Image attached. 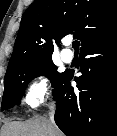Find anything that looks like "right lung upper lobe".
Masks as SVG:
<instances>
[{
  "label": "right lung upper lobe",
  "mask_w": 117,
  "mask_h": 136,
  "mask_svg": "<svg viewBox=\"0 0 117 136\" xmlns=\"http://www.w3.org/2000/svg\"><path fill=\"white\" fill-rule=\"evenodd\" d=\"M117 27V0H35L25 11L9 65L52 57L54 43L74 33L81 46Z\"/></svg>",
  "instance_id": "1"
}]
</instances>
